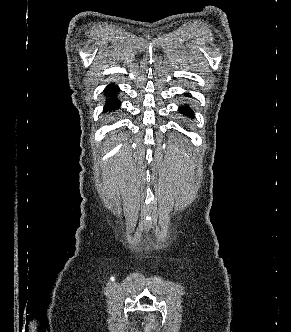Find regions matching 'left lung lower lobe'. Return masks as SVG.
<instances>
[{
	"label": "left lung lower lobe",
	"mask_w": 291,
	"mask_h": 332,
	"mask_svg": "<svg viewBox=\"0 0 291 332\" xmlns=\"http://www.w3.org/2000/svg\"><path fill=\"white\" fill-rule=\"evenodd\" d=\"M186 97H189L188 94H186ZM179 113L182 114L183 116L189 117V118H194V114L192 109L188 105H181L179 107Z\"/></svg>",
	"instance_id": "obj_1"
}]
</instances>
